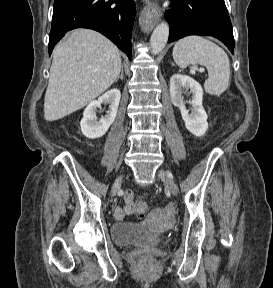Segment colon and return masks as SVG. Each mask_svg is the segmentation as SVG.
Here are the masks:
<instances>
[{"mask_svg": "<svg viewBox=\"0 0 273 288\" xmlns=\"http://www.w3.org/2000/svg\"><path fill=\"white\" fill-rule=\"evenodd\" d=\"M147 210V204L141 199H136L133 201V212L137 215H144Z\"/></svg>", "mask_w": 273, "mask_h": 288, "instance_id": "1", "label": "colon"}]
</instances>
